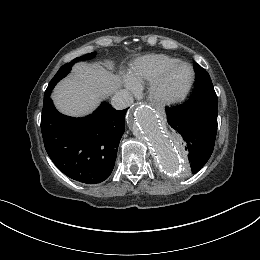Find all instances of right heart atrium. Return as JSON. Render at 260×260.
<instances>
[{"instance_id": "1", "label": "right heart atrium", "mask_w": 260, "mask_h": 260, "mask_svg": "<svg viewBox=\"0 0 260 260\" xmlns=\"http://www.w3.org/2000/svg\"><path fill=\"white\" fill-rule=\"evenodd\" d=\"M126 85H127V87L130 88V89H136V88H137V85L132 84L130 81H128V82L126 83Z\"/></svg>"}]
</instances>
